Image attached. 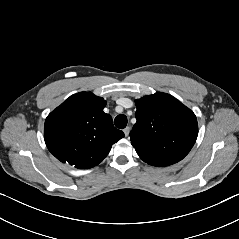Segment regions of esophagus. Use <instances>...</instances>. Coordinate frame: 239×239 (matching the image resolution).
Listing matches in <instances>:
<instances>
[{
  "label": "esophagus",
  "instance_id": "34e87169",
  "mask_svg": "<svg viewBox=\"0 0 239 239\" xmlns=\"http://www.w3.org/2000/svg\"><path fill=\"white\" fill-rule=\"evenodd\" d=\"M123 131H124L125 136L127 137L130 132V127H126Z\"/></svg>",
  "mask_w": 239,
  "mask_h": 239
}]
</instances>
